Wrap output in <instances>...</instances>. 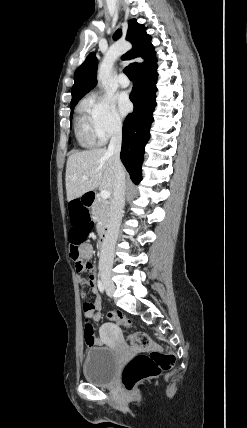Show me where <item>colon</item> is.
Here are the masks:
<instances>
[{
  "instance_id": "colon-1",
  "label": "colon",
  "mask_w": 247,
  "mask_h": 428,
  "mask_svg": "<svg viewBox=\"0 0 247 428\" xmlns=\"http://www.w3.org/2000/svg\"><path fill=\"white\" fill-rule=\"evenodd\" d=\"M66 207L69 211V220L66 221L65 225L67 229H70L68 232V237L71 239L70 253L77 270L87 271L89 264L80 257V247L84 245L83 239H90L91 232H93L94 219L88 217L91 206L90 204H82L81 199H67ZM108 317L124 327L131 325L129 319L119 312H110ZM84 338L87 345H94L96 339L93 325L87 317L84 320ZM128 343L134 349L147 351V353L135 355L123 370L122 383L129 392H133L143 380L156 378L175 364V356L168 351L160 350L144 332L132 334L128 338Z\"/></svg>"
}]
</instances>
